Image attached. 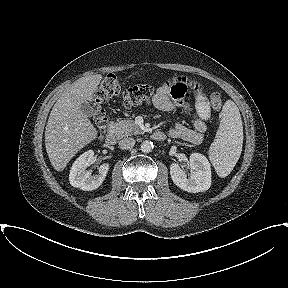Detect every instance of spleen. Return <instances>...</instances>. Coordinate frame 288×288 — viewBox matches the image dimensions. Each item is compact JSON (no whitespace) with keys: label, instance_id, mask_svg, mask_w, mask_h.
I'll return each instance as SVG.
<instances>
[{"label":"spleen","instance_id":"1","mask_svg":"<svg viewBox=\"0 0 288 288\" xmlns=\"http://www.w3.org/2000/svg\"><path fill=\"white\" fill-rule=\"evenodd\" d=\"M216 137L209 148V159L219 177L228 176L236 165L243 144V126L236 104L228 100L220 113Z\"/></svg>","mask_w":288,"mask_h":288}]
</instances>
